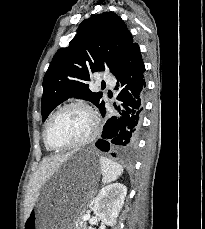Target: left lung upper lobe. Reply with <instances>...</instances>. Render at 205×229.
Listing matches in <instances>:
<instances>
[{"label": "left lung upper lobe", "mask_w": 205, "mask_h": 229, "mask_svg": "<svg viewBox=\"0 0 205 229\" xmlns=\"http://www.w3.org/2000/svg\"><path fill=\"white\" fill-rule=\"evenodd\" d=\"M133 38L124 21L115 13L104 12L83 20L68 47L54 55L43 79L42 121L68 98L91 101L105 108L102 93H94L86 84L96 71H116Z\"/></svg>", "instance_id": "1"}]
</instances>
